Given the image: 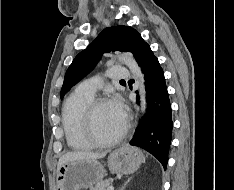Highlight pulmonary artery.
Returning <instances> with one entry per match:
<instances>
[{"label": "pulmonary artery", "instance_id": "pulmonary-artery-1", "mask_svg": "<svg viewBox=\"0 0 234 190\" xmlns=\"http://www.w3.org/2000/svg\"><path fill=\"white\" fill-rule=\"evenodd\" d=\"M109 77L112 80H119L123 78H128L130 76V71L127 67L124 66H112L108 70ZM102 84V81L98 78H90L88 80L83 81L80 83L76 91L89 95L94 96L97 89Z\"/></svg>", "mask_w": 234, "mask_h": 190}]
</instances>
